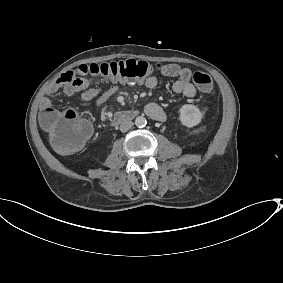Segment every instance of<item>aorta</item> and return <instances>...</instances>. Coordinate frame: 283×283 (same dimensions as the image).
<instances>
[{
	"label": "aorta",
	"instance_id": "1",
	"mask_svg": "<svg viewBox=\"0 0 283 283\" xmlns=\"http://www.w3.org/2000/svg\"><path fill=\"white\" fill-rule=\"evenodd\" d=\"M146 119L143 117V116H138L136 119H135V125L139 128H142V127H145L146 126Z\"/></svg>",
	"mask_w": 283,
	"mask_h": 283
}]
</instances>
